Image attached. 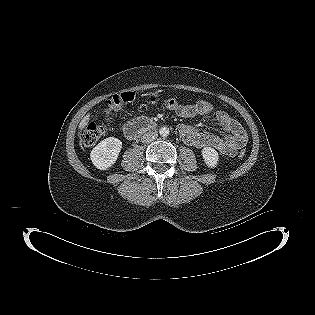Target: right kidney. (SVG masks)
Listing matches in <instances>:
<instances>
[{
    "instance_id": "1",
    "label": "right kidney",
    "mask_w": 315,
    "mask_h": 315,
    "mask_svg": "<svg viewBox=\"0 0 315 315\" xmlns=\"http://www.w3.org/2000/svg\"><path fill=\"white\" fill-rule=\"evenodd\" d=\"M121 148L122 142L119 139L115 137L106 138L91 151V161L97 169L107 170L116 162Z\"/></svg>"
}]
</instances>
